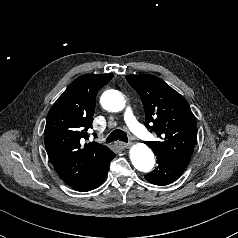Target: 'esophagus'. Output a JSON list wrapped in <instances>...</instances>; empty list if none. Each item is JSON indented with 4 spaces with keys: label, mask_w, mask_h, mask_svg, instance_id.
<instances>
[{
    "label": "esophagus",
    "mask_w": 238,
    "mask_h": 238,
    "mask_svg": "<svg viewBox=\"0 0 238 238\" xmlns=\"http://www.w3.org/2000/svg\"><path fill=\"white\" fill-rule=\"evenodd\" d=\"M122 148H128L130 146V143H125V142H119L118 143Z\"/></svg>",
    "instance_id": "esophagus-1"
}]
</instances>
